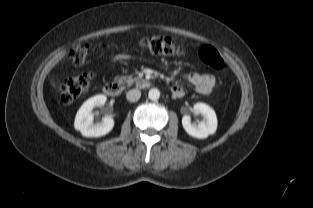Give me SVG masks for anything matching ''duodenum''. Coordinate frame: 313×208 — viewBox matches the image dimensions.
<instances>
[{"label": "duodenum", "mask_w": 313, "mask_h": 208, "mask_svg": "<svg viewBox=\"0 0 313 208\" xmlns=\"http://www.w3.org/2000/svg\"><path fill=\"white\" fill-rule=\"evenodd\" d=\"M135 86L138 89H146L150 86V83L146 80L141 79L135 83ZM103 91L108 96L117 97L121 95L123 91V84H121L120 82H116V81L109 82L104 85Z\"/></svg>", "instance_id": "1"}]
</instances>
